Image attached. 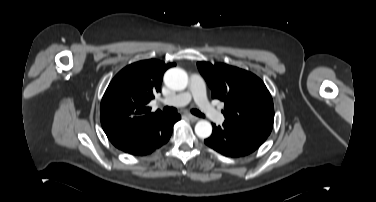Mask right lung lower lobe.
I'll return each mask as SVG.
<instances>
[{
    "instance_id": "obj_1",
    "label": "right lung lower lobe",
    "mask_w": 376,
    "mask_h": 202,
    "mask_svg": "<svg viewBox=\"0 0 376 202\" xmlns=\"http://www.w3.org/2000/svg\"><path fill=\"white\" fill-rule=\"evenodd\" d=\"M180 119L179 114H163L111 142L115 147L126 153L146 155L168 142L173 125Z\"/></svg>"
}]
</instances>
